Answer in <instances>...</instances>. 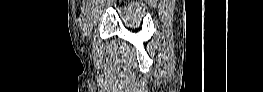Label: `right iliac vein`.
<instances>
[{
	"instance_id": "right-iliac-vein-1",
	"label": "right iliac vein",
	"mask_w": 263,
	"mask_h": 92,
	"mask_svg": "<svg viewBox=\"0 0 263 92\" xmlns=\"http://www.w3.org/2000/svg\"><path fill=\"white\" fill-rule=\"evenodd\" d=\"M95 15V11L94 9H91L90 10V14H89V26H87L86 28V36H87V39H91L92 37V26H91V20L93 18V16Z\"/></svg>"
}]
</instances>
